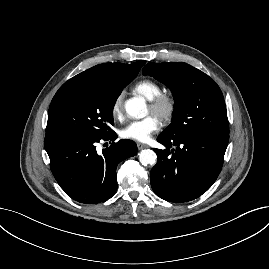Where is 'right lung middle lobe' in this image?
I'll return each mask as SVG.
<instances>
[{"label":"right lung middle lobe","mask_w":269,"mask_h":269,"mask_svg":"<svg viewBox=\"0 0 269 269\" xmlns=\"http://www.w3.org/2000/svg\"><path fill=\"white\" fill-rule=\"evenodd\" d=\"M134 78H71L52 99L46 136L75 133L102 138L112 134L114 104Z\"/></svg>","instance_id":"obj_1"}]
</instances>
